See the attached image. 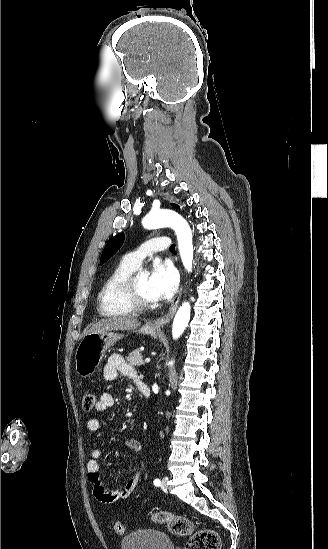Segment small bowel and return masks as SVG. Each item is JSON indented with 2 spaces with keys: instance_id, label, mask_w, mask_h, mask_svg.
<instances>
[{
  "instance_id": "obj_1",
  "label": "small bowel",
  "mask_w": 328,
  "mask_h": 549,
  "mask_svg": "<svg viewBox=\"0 0 328 549\" xmlns=\"http://www.w3.org/2000/svg\"><path fill=\"white\" fill-rule=\"evenodd\" d=\"M119 375L132 379L137 377L135 368L129 364L122 355L113 353L108 357L103 368V378L106 381H114ZM114 402L115 399L111 393L103 392L95 405V410L98 413H104L114 405ZM100 427V421L96 418H91L87 421V429L90 432H97ZM124 445L132 452H143V444L137 438H127L124 440ZM101 456V450L94 448L91 450L90 459L87 462L88 478L93 486L95 497L98 501L105 504H111L119 500L127 499L134 492L140 482L143 464L138 466L136 471L128 479L122 489H110L101 479L99 467V459Z\"/></svg>"
}]
</instances>
